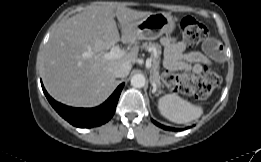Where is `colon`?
Segmentation results:
<instances>
[{
    "mask_svg": "<svg viewBox=\"0 0 261 162\" xmlns=\"http://www.w3.org/2000/svg\"><path fill=\"white\" fill-rule=\"evenodd\" d=\"M180 30L189 45H196L207 37L206 26L193 17H184ZM222 81L221 71L206 67L200 75L166 73L164 82L170 91L192 96L198 100L206 99Z\"/></svg>",
    "mask_w": 261,
    "mask_h": 162,
    "instance_id": "colon-1",
    "label": "colon"
}]
</instances>
